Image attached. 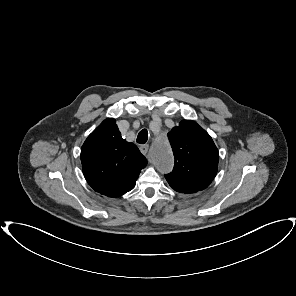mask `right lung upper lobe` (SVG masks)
Returning a JSON list of instances; mask_svg holds the SVG:
<instances>
[{
	"label": "right lung upper lobe",
	"mask_w": 296,
	"mask_h": 296,
	"mask_svg": "<svg viewBox=\"0 0 296 296\" xmlns=\"http://www.w3.org/2000/svg\"><path fill=\"white\" fill-rule=\"evenodd\" d=\"M83 174L98 193L119 197L132 190L147 165L138 147L128 143L113 118L104 120L81 148Z\"/></svg>",
	"instance_id": "cb5924a9"
}]
</instances>
